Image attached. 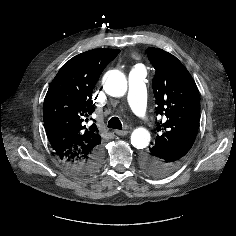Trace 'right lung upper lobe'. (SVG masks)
Instances as JSON below:
<instances>
[{
	"label": "right lung upper lobe",
	"mask_w": 236,
	"mask_h": 236,
	"mask_svg": "<svg viewBox=\"0 0 236 236\" xmlns=\"http://www.w3.org/2000/svg\"><path fill=\"white\" fill-rule=\"evenodd\" d=\"M118 49H94L65 63L53 79L43 107V121L49 142L63 162L83 161L101 147L94 121L92 93L107 64Z\"/></svg>",
	"instance_id": "cb5924a9"
}]
</instances>
